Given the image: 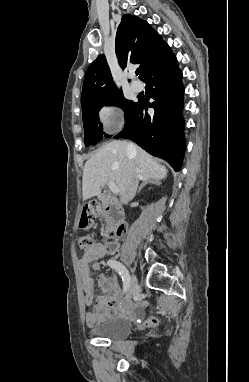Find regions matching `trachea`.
Listing matches in <instances>:
<instances>
[{
    "label": "trachea",
    "mask_w": 249,
    "mask_h": 382,
    "mask_svg": "<svg viewBox=\"0 0 249 382\" xmlns=\"http://www.w3.org/2000/svg\"><path fill=\"white\" fill-rule=\"evenodd\" d=\"M135 73H136V75H138V74H139V70L137 69V70L135 71Z\"/></svg>",
    "instance_id": "obj_1"
}]
</instances>
